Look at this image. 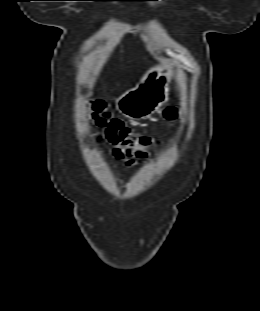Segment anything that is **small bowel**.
<instances>
[{"mask_svg": "<svg viewBox=\"0 0 260 311\" xmlns=\"http://www.w3.org/2000/svg\"><path fill=\"white\" fill-rule=\"evenodd\" d=\"M136 161L134 159H128L124 162V167L125 168H130L133 165H135Z\"/></svg>", "mask_w": 260, "mask_h": 311, "instance_id": "obj_1", "label": "small bowel"}]
</instances>
